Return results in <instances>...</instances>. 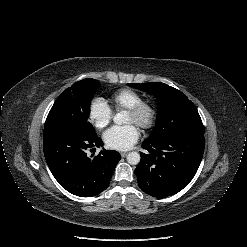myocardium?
Here are the masks:
<instances>
[{
	"label": "myocardium",
	"instance_id": "f54148a6",
	"mask_svg": "<svg viewBox=\"0 0 247 247\" xmlns=\"http://www.w3.org/2000/svg\"><path fill=\"white\" fill-rule=\"evenodd\" d=\"M127 110L136 117V124L143 129L151 128L157 117L155 105L146 100H141Z\"/></svg>",
	"mask_w": 247,
	"mask_h": 247
}]
</instances>
